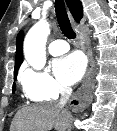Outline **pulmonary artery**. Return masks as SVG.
Instances as JSON below:
<instances>
[{
  "label": "pulmonary artery",
  "instance_id": "1",
  "mask_svg": "<svg viewBox=\"0 0 117 131\" xmlns=\"http://www.w3.org/2000/svg\"><path fill=\"white\" fill-rule=\"evenodd\" d=\"M69 50V45L66 41L57 39L49 44L48 51L53 56H59Z\"/></svg>",
  "mask_w": 117,
  "mask_h": 131
}]
</instances>
